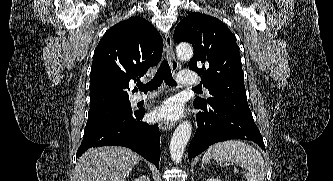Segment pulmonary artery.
<instances>
[{"label": "pulmonary artery", "mask_w": 333, "mask_h": 181, "mask_svg": "<svg viewBox=\"0 0 333 181\" xmlns=\"http://www.w3.org/2000/svg\"><path fill=\"white\" fill-rule=\"evenodd\" d=\"M177 80L178 83L183 86L197 85L199 83V78L194 72L191 71L179 72L177 75ZM155 95V93H149L147 95H136L134 97V101L139 102L142 100H147L153 98Z\"/></svg>", "instance_id": "obj_1"}]
</instances>
